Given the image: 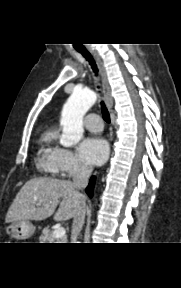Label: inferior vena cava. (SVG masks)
<instances>
[{
	"instance_id": "inferior-vena-cava-1",
	"label": "inferior vena cava",
	"mask_w": 181,
	"mask_h": 288,
	"mask_svg": "<svg viewBox=\"0 0 181 288\" xmlns=\"http://www.w3.org/2000/svg\"><path fill=\"white\" fill-rule=\"evenodd\" d=\"M92 173V167L81 163L79 165L77 173L73 177V184L78 191L86 188L88 179ZM86 213V204L83 203L78 209L76 215L73 218L72 231H71V243H76L78 235L84 224Z\"/></svg>"
}]
</instances>
